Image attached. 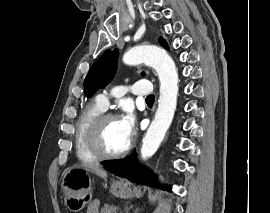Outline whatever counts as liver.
I'll return each mask as SVG.
<instances>
[{
  "instance_id": "liver-1",
  "label": "liver",
  "mask_w": 270,
  "mask_h": 213,
  "mask_svg": "<svg viewBox=\"0 0 270 213\" xmlns=\"http://www.w3.org/2000/svg\"><path fill=\"white\" fill-rule=\"evenodd\" d=\"M85 170L90 171L92 173H95L96 175L106 178L107 177V172L103 170L100 166L96 165H83L82 166Z\"/></svg>"
}]
</instances>
